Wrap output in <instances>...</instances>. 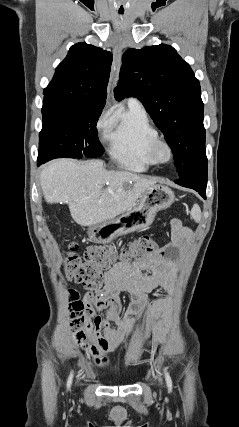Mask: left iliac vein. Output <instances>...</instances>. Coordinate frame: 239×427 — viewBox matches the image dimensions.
Returning <instances> with one entry per match:
<instances>
[{
	"label": "left iliac vein",
	"mask_w": 239,
	"mask_h": 427,
	"mask_svg": "<svg viewBox=\"0 0 239 427\" xmlns=\"http://www.w3.org/2000/svg\"><path fill=\"white\" fill-rule=\"evenodd\" d=\"M158 381H159L160 383H162V378H161V377H158Z\"/></svg>",
	"instance_id": "4c4485c4"
}]
</instances>
